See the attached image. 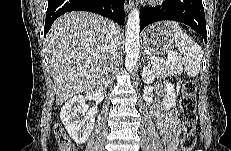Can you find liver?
I'll list each match as a JSON object with an SVG mask.
<instances>
[{
	"mask_svg": "<svg viewBox=\"0 0 231 151\" xmlns=\"http://www.w3.org/2000/svg\"><path fill=\"white\" fill-rule=\"evenodd\" d=\"M112 23L91 12H69L53 23L45 42L56 86V105L94 88L107 69ZM120 40V31L116 35Z\"/></svg>",
	"mask_w": 231,
	"mask_h": 151,
	"instance_id": "liver-1",
	"label": "liver"
}]
</instances>
